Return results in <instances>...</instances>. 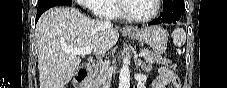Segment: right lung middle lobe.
Returning a JSON list of instances; mask_svg holds the SVG:
<instances>
[{
    "instance_id": "1",
    "label": "right lung middle lobe",
    "mask_w": 227,
    "mask_h": 88,
    "mask_svg": "<svg viewBox=\"0 0 227 88\" xmlns=\"http://www.w3.org/2000/svg\"><path fill=\"white\" fill-rule=\"evenodd\" d=\"M72 0H38V8L45 6H56V5H71Z\"/></svg>"
}]
</instances>
